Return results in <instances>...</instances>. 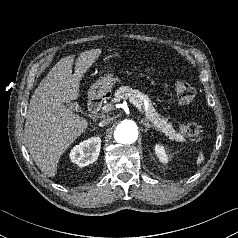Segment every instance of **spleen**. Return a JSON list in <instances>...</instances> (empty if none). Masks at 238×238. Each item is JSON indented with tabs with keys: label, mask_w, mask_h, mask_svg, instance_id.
<instances>
[{
	"label": "spleen",
	"mask_w": 238,
	"mask_h": 238,
	"mask_svg": "<svg viewBox=\"0 0 238 238\" xmlns=\"http://www.w3.org/2000/svg\"><path fill=\"white\" fill-rule=\"evenodd\" d=\"M204 161V154L200 153L199 156L197 157L196 163L197 165L201 164Z\"/></svg>",
	"instance_id": "3e777b00"
}]
</instances>
